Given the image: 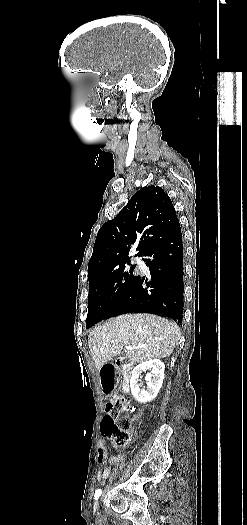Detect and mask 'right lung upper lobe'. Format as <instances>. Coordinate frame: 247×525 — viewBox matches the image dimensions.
<instances>
[{
    "label": "right lung upper lobe",
    "mask_w": 247,
    "mask_h": 525,
    "mask_svg": "<svg viewBox=\"0 0 247 525\" xmlns=\"http://www.w3.org/2000/svg\"><path fill=\"white\" fill-rule=\"evenodd\" d=\"M179 227L175 208L162 188L140 189L124 209L98 231L88 274L123 267L130 263L128 254L132 245L137 244L136 255L142 256L151 245Z\"/></svg>",
    "instance_id": "1"
}]
</instances>
